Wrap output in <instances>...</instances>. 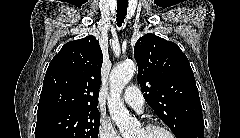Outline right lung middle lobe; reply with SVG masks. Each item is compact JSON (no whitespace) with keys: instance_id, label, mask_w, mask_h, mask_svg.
Listing matches in <instances>:
<instances>
[{"instance_id":"1","label":"right lung middle lobe","mask_w":240,"mask_h":138,"mask_svg":"<svg viewBox=\"0 0 240 138\" xmlns=\"http://www.w3.org/2000/svg\"><path fill=\"white\" fill-rule=\"evenodd\" d=\"M100 114L95 109H61L37 115L35 138H98Z\"/></svg>"}]
</instances>
